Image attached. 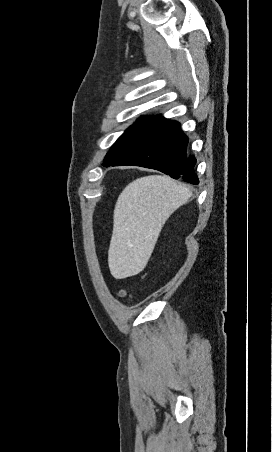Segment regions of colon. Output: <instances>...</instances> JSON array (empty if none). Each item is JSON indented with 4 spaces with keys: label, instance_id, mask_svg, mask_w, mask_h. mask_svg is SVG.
<instances>
[{
    "label": "colon",
    "instance_id": "colon-1",
    "mask_svg": "<svg viewBox=\"0 0 272 452\" xmlns=\"http://www.w3.org/2000/svg\"><path fill=\"white\" fill-rule=\"evenodd\" d=\"M120 297H125L127 295V293L125 291H120L119 292Z\"/></svg>",
    "mask_w": 272,
    "mask_h": 452
}]
</instances>
